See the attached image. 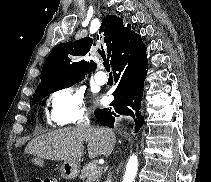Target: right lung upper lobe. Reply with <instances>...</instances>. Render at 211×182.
<instances>
[{"label":"right lung upper lobe","mask_w":211,"mask_h":182,"mask_svg":"<svg viewBox=\"0 0 211 182\" xmlns=\"http://www.w3.org/2000/svg\"><path fill=\"white\" fill-rule=\"evenodd\" d=\"M99 33L103 34L106 53L111 58L110 64L113 67L117 54L134 37L135 33L130 31V25L124 27L123 21L115 15H108L103 19ZM97 38L99 39V36ZM93 45H95L93 40L85 37L55 47L44 62L41 83L34 95L53 86L80 80L85 74L95 70L97 64L92 60L73 61L74 57L86 55Z\"/></svg>","instance_id":"cb5924a9"}]
</instances>
